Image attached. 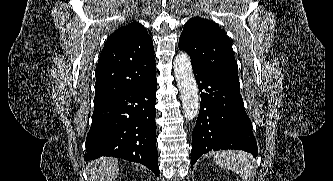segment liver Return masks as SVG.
Segmentation results:
<instances>
[{
	"label": "liver",
	"mask_w": 333,
	"mask_h": 181,
	"mask_svg": "<svg viewBox=\"0 0 333 181\" xmlns=\"http://www.w3.org/2000/svg\"><path fill=\"white\" fill-rule=\"evenodd\" d=\"M88 181H115L119 173L118 160L101 157L90 162L86 167Z\"/></svg>",
	"instance_id": "6515ba94"
}]
</instances>
